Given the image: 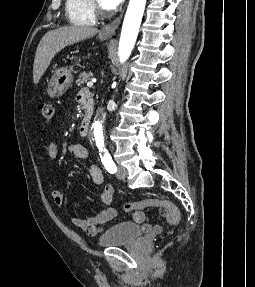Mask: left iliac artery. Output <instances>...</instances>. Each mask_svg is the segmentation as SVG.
<instances>
[{
	"mask_svg": "<svg viewBox=\"0 0 255 287\" xmlns=\"http://www.w3.org/2000/svg\"><path fill=\"white\" fill-rule=\"evenodd\" d=\"M100 157L105 169L111 174L116 173L117 167L112 160L111 155L105 148H100Z\"/></svg>",
	"mask_w": 255,
	"mask_h": 287,
	"instance_id": "obj_1",
	"label": "left iliac artery"
}]
</instances>
